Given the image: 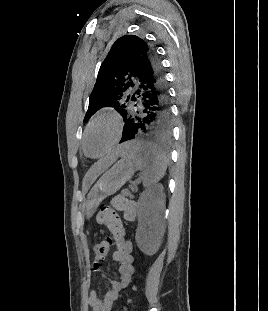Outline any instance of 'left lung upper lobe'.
Masks as SVG:
<instances>
[{
    "label": "left lung upper lobe",
    "instance_id": "left-lung-upper-lobe-1",
    "mask_svg": "<svg viewBox=\"0 0 268 311\" xmlns=\"http://www.w3.org/2000/svg\"><path fill=\"white\" fill-rule=\"evenodd\" d=\"M151 51L149 44L136 35H125L115 41L100 67L84 122L103 107H113L126 121L133 110L131 97L139 65Z\"/></svg>",
    "mask_w": 268,
    "mask_h": 311
}]
</instances>
